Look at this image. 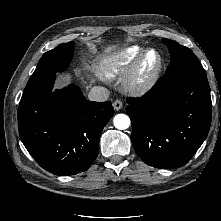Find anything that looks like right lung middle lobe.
<instances>
[{"label": "right lung middle lobe", "mask_w": 221, "mask_h": 221, "mask_svg": "<svg viewBox=\"0 0 221 221\" xmlns=\"http://www.w3.org/2000/svg\"><path fill=\"white\" fill-rule=\"evenodd\" d=\"M73 52V42L61 44L53 50L46 52L40 59L33 74L50 70L64 71L71 62Z\"/></svg>", "instance_id": "obj_1"}]
</instances>
